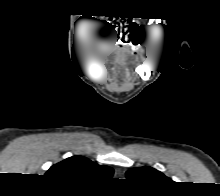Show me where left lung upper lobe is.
<instances>
[{"label": "left lung upper lobe", "mask_w": 220, "mask_h": 196, "mask_svg": "<svg viewBox=\"0 0 220 196\" xmlns=\"http://www.w3.org/2000/svg\"><path fill=\"white\" fill-rule=\"evenodd\" d=\"M126 176L128 180L147 185L173 182L164 174L151 167L130 169L126 172Z\"/></svg>", "instance_id": "obj_1"}]
</instances>
